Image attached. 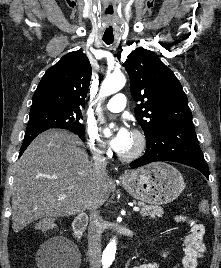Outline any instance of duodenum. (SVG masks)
<instances>
[{"label":"duodenum","mask_w":221,"mask_h":268,"mask_svg":"<svg viewBox=\"0 0 221 268\" xmlns=\"http://www.w3.org/2000/svg\"><path fill=\"white\" fill-rule=\"evenodd\" d=\"M88 223V217L85 214H79L73 221V234L75 239L83 244V234Z\"/></svg>","instance_id":"410a0bca"}]
</instances>
